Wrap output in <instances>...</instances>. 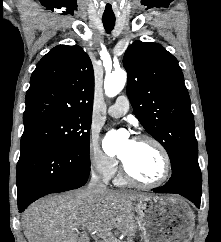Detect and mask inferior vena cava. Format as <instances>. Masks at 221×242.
I'll return each instance as SVG.
<instances>
[{
    "instance_id": "obj_1",
    "label": "inferior vena cava",
    "mask_w": 221,
    "mask_h": 242,
    "mask_svg": "<svg viewBox=\"0 0 221 242\" xmlns=\"http://www.w3.org/2000/svg\"><path fill=\"white\" fill-rule=\"evenodd\" d=\"M87 190L93 191V192L106 190V185L100 181V177L95 171L92 172Z\"/></svg>"
}]
</instances>
